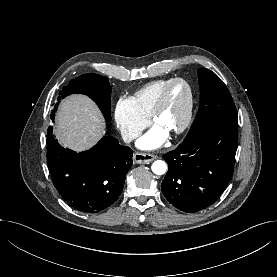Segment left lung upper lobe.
Instances as JSON below:
<instances>
[{
    "label": "left lung upper lobe",
    "mask_w": 277,
    "mask_h": 277,
    "mask_svg": "<svg viewBox=\"0 0 277 277\" xmlns=\"http://www.w3.org/2000/svg\"><path fill=\"white\" fill-rule=\"evenodd\" d=\"M198 77L199 111L184 140L213 127L237 129V111L226 85L214 72L206 68L198 69Z\"/></svg>",
    "instance_id": "left-lung-upper-lobe-1"
}]
</instances>
